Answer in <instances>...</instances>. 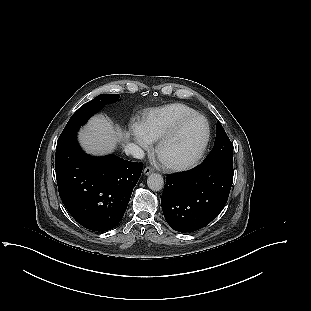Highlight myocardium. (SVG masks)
Segmentation results:
<instances>
[{"label":"myocardium","mask_w":311,"mask_h":311,"mask_svg":"<svg viewBox=\"0 0 311 311\" xmlns=\"http://www.w3.org/2000/svg\"><path fill=\"white\" fill-rule=\"evenodd\" d=\"M195 118L202 119L204 122V125H205L204 139H203V142H202L200 148L196 152V154L190 160L183 161V162H171V161L164 160L161 156V152H162L164 146L166 144H168L174 137H176L178 135V133L182 130V128L189 121H191ZM210 137H211V129H210V124H209L207 118L204 115L196 112V113L190 114L188 116H185L184 118L179 120L169 131H167L158 140L157 145H156V155H157L158 159L160 160V162L164 165V167H166L167 169H169L171 171L189 170V169L195 167L200 162L202 157L204 156V154L208 148L209 142H210Z\"/></svg>","instance_id":"1"}]
</instances>
